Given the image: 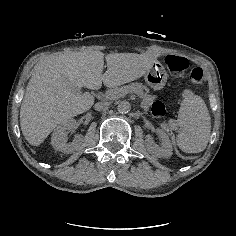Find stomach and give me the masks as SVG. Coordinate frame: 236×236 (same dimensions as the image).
Returning a JSON list of instances; mask_svg holds the SVG:
<instances>
[{"instance_id":"obj_1","label":"stomach","mask_w":236,"mask_h":236,"mask_svg":"<svg viewBox=\"0 0 236 236\" xmlns=\"http://www.w3.org/2000/svg\"><path fill=\"white\" fill-rule=\"evenodd\" d=\"M145 82L153 89H162L167 82V73L165 69L159 65H154L145 75Z\"/></svg>"}]
</instances>
